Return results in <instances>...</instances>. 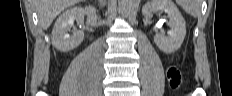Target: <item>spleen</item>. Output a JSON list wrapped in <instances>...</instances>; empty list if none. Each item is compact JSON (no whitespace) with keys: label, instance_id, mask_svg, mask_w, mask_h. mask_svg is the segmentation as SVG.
<instances>
[{"label":"spleen","instance_id":"3e777b00","mask_svg":"<svg viewBox=\"0 0 232 96\" xmlns=\"http://www.w3.org/2000/svg\"><path fill=\"white\" fill-rule=\"evenodd\" d=\"M176 2L193 17H198L201 14L200 0H176Z\"/></svg>","mask_w":232,"mask_h":96}]
</instances>
